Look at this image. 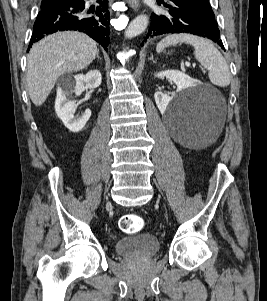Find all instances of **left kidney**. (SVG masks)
<instances>
[{
    "mask_svg": "<svg viewBox=\"0 0 267 301\" xmlns=\"http://www.w3.org/2000/svg\"><path fill=\"white\" fill-rule=\"evenodd\" d=\"M155 77H166L173 81L177 85L178 91L189 89L197 82L188 75L176 70L162 71L155 74ZM154 98L158 109L162 112L166 111L169 103L172 101V97L162 92H156Z\"/></svg>",
    "mask_w": 267,
    "mask_h": 301,
    "instance_id": "1",
    "label": "left kidney"
}]
</instances>
